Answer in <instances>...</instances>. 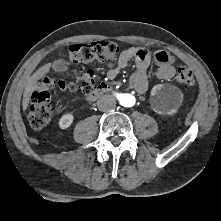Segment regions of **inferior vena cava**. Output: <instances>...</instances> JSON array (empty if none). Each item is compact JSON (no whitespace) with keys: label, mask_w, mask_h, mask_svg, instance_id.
<instances>
[{"label":"inferior vena cava","mask_w":221,"mask_h":221,"mask_svg":"<svg viewBox=\"0 0 221 221\" xmlns=\"http://www.w3.org/2000/svg\"><path fill=\"white\" fill-rule=\"evenodd\" d=\"M97 106L100 111L106 112L115 108L116 100L111 95H103L97 101Z\"/></svg>","instance_id":"obj_1"}]
</instances>
